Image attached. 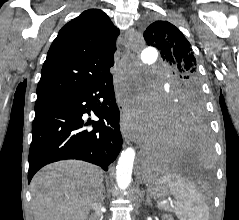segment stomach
<instances>
[{"instance_id":"obj_1","label":"stomach","mask_w":239,"mask_h":220,"mask_svg":"<svg viewBox=\"0 0 239 220\" xmlns=\"http://www.w3.org/2000/svg\"><path fill=\"white\" fill-rule=\"evenodd\" d=\"M148 193L153 197H164L169 193V187L166 184L150 183Z\"/></svg>"}]
</instances>
